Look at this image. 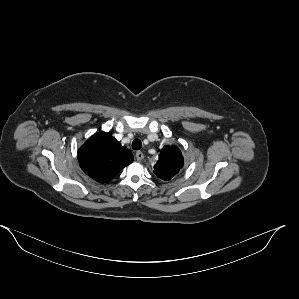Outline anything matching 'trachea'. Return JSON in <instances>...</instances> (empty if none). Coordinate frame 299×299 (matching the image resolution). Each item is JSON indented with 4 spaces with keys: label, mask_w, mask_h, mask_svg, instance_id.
I'll return each instance as SVG.
<instances>
[{
    "label": "trachea",
    "mask_w": 299,
    "mask_h": 299,
    "mask_svg": "<svg viewBox=\"0 0 299 299\" xmlns=\"http://www.w3.org/2000/svg\"><path fill=\"white\" fill-rule=\"evenodd\" d=\"M142 147V142L139 139H134L132 142V148L134 150H139Z\"/></svg>",
    "instance_id": "obj_1"
}]
</instances>
